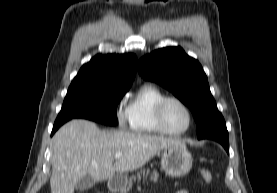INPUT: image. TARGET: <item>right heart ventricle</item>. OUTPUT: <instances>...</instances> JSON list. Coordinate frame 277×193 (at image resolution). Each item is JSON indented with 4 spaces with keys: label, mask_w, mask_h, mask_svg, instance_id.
<instances>
[{
    "label": "right heart ventricle",
    "mask_w": 277,
    "mask_h": 193,
    "mask_svg": "<svg viewBox=\"0 0 277 193\" xmlns=\"http://www.w3.org/2000/svg\"><path fill=\"white\" fill-rule=\"evenodd\" d=\"M166 95L154 85H144L130 99L126 114L132 131L141 134H160L155 119L158 102Z\"/></svg>",
    "instance_id": "e07e8e85"
}]
</instances>
